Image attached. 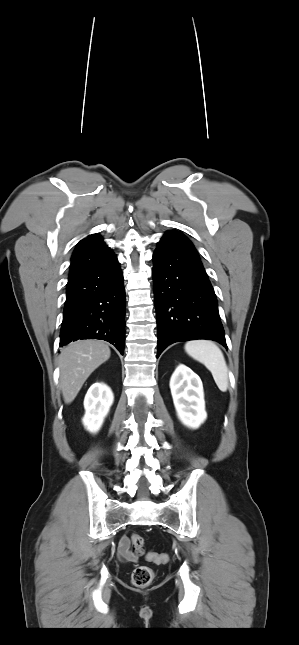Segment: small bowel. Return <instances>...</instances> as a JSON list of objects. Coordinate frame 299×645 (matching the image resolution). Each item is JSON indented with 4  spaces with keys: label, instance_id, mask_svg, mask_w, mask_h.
I'll return each mask as SVG.
<instances>
[{
    "label": "small bowel",
    "instance_id": "1",
    "mask_svg": "<svg viewBox=\"0 0 299 645\" xmlns=\"http://www.w3.org/2000/svg\"><path fill=\"white\" fill-rule=\"evenodd\" d=\"M130 544V538L126 536L122 537L119 541L118 552L124 560L133 562L136 560V558L130 550Z\"/></svg>",
    "mask_w": 299,
    "mask_h": 645
}]
</instances>
